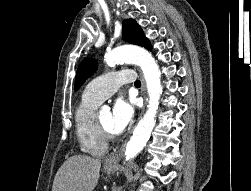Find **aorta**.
<instances>
[{
    "instance_id": "762f6f07",
    "label": "aorta",
    "mask_w": 251,
    "mask_h": 191,
    "mask_svg": "<svg viewBox=\"0 0 251 191\" xmlns=\"http://www.w3.org/2000/svg\"><path fill=\"white\" fill-rule=\"evenodd\" d=\"M105 58L108 66L125 64V62L136 64V66H140L145 78L149 101L147 111L137 123L133 135L126 145L125 155L127 159H131L140 153L146 145L153 127H155V117L163 90L160 80L161 72L151 54L138 46H119V48H114L112 52H108Z\"/></svg>"
}]
</instances>
